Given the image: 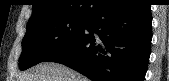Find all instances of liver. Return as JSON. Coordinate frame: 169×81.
<instances>
[{
  "label": "liver",
  "mask_w": 169,
  "mask_h": 81,
  "mask_svg": "<svg viewBox=\"0 0 169 81\" xmlns=\"http://www.w3.org/2000/svg\"><path fill=\"white\" fill-rule=\"evenodd\" d=\"M17 81H88V79L60 63L43 62L19 75Z\"/></svg>",
  "instance_id": "1"
}]
</instances>
